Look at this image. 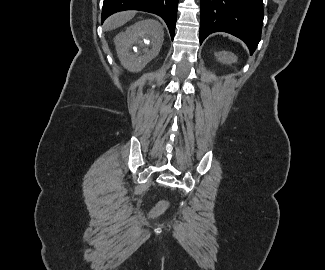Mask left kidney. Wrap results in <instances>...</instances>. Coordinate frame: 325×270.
Segmentation results:
<instances>
[{
    "label": "left kidney",
    "mask_w": 325,
    "mask_h": 270,
    "mask_svg": "<svg viewBox=\"0 0 325 270\" xmlns=\"http://www.w3.org/2000/svg\"><path fill=\"white\" fill-rule=\"evenodd\" d=\"M215 57L218 61L224 64H232L237 62V57L233 53L226 51L215 52Z\"/></svg>",
    "instance_id": "obj_1"
}]
</instances>
